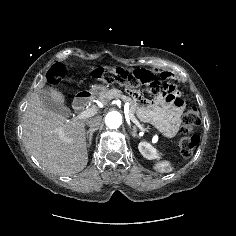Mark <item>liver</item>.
I'll return each mask as SVG.
<instances>
[{
    "label": "liver",
    "instance_id": "liver-1",
    "mask_svg": "<svg viewBox=\"0 0 236 236\" xmlns=\"http://www.w3.org/2000/svg\"><path fill=\"white\" fill-rule=\"evenodd\" d=\"M31 95L23 115V132L26 148L49 171L70 175L82 171L88 163L85 120L69 121L45 108L38 91ZM53 100L64 106L65 96L56 89L46 90ZM63 132L64 137H60Z\"/></svg>",
    "mask_w": 236,
    "mask_h": 236
}]
</instances>
